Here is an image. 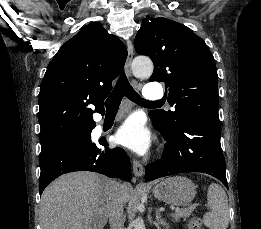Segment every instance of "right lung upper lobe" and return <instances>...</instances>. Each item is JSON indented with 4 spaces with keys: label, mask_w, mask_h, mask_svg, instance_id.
Segmentation results:
<instances>
[{
    "label": "right lung upper lobe",
    "mask_w": 261,
    "mask_h": 229,
    "mask_svg": "<svg viewBox=\"0 0 261 229\" xmlns=\"http://www.w3.org/2000/svg\"><path fill=\"white\" fill-rule=\"evenodd\" d=\"M126 57L125 45L98 22L84 26L59 49L39 93L40 135H50L52 147L91 130L94 111L86 106L104 111L103 100Z\"/></svg>",
    "instance_id": "1"
}]
</instances>
